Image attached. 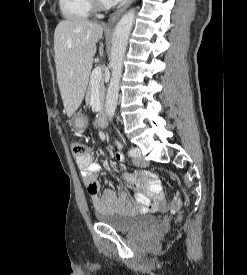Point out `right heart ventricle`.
Wrapping results in <instances>:
<instances>
[{"instance_id":"obj_1","label":"right heart ventricle","mask_w":247,"mask_h":275,"mask_svg":"<svg viewBox=\"0 0 247 275\" xmlns=\"http://www.w3.org/2000/svg\"><path fill=\"white\" fill-rule=\"evenodd\" d=\"M59 8L63 17L69 20L87 19L94 12L90 0H59Z\"/></svg>"}]
</instances>
